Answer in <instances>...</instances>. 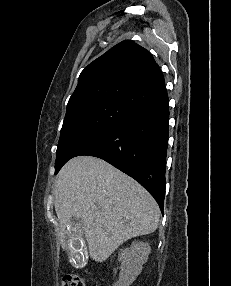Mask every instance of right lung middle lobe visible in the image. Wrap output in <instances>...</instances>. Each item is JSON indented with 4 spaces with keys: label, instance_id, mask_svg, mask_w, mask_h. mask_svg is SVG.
Masks as SVG:
<instances>
[{
    "label": "right lung middle lobe",
    "instance_id": "dd1d6c3e",
    "mask_svg": "<svg viewBox=\"0 0 231 286\" xmlns=\"http://www.w3.org/2000/svg\"><path fill=\"white\" fill-rule=\"evenodd\" d=\"M130 112L124 103L103 101L67 114L56 152L55 174L86 145Z\"/></svg>",
    "mask_w": 231,
    "mask_h": 286
}]
</instances>
